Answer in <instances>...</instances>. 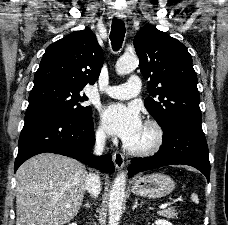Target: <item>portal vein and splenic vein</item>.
I'll return each instance as SVG.
<instances>
[{
	"label": "portal vein and splenic vein",
	"mask_w": 228,
	"mask_h": 225,
	"mask_svg": "<svg viewBox=\"0 0 228 225\" xmlns=\"http://www.w3.org/2000/svg\"><path fill=\"white\" fill-rule=\"evenodd\" d=\"M181 201H182L181 197H173V200H166V202L159 204L158 208L159 209H167L168 205L170 207H173L174 205H179ZM66 207H70V205H66Z\"/></svg>",
	"instance_id": "obj_1"
}]
</instances>
